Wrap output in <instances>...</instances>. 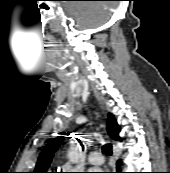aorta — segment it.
Segmentation results:
<instances>
[{"label": "aorta", "instance_id": "1", "mask_svg": "<svg viewBox=\"0 0 170 173\" xmlns=\"http://www.w3.org/2000/svg\"><path fill=\"white\" fill-rule=\"evenodd\" d=\"M80 158H81V153L78 152L77 150H72L69 152V160L72 163H77Z\"/></svg>", "mask_w": 170, "mask_h": 173}]
</instances>
